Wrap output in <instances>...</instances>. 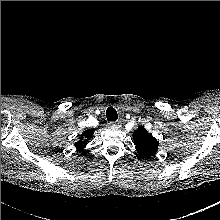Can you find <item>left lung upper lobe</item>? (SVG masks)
Here are the masks:
<instances>
[{"label": "left lung upper lobe", "instance_id": "5c2ea615", "mask_svg": "<svg viewBox=\"0 0 220 220\" xmlns=\"http://www.w3.org/2000/svg\"><path fill=\"white\" fill-rule=\"evenodd\" d=\"M134 144L137 153L141 158L153 156L158 150V141L152 134H149L143 126H139L133 133Z\"/></svg>", "mask_w": 220, "mask_h": 220}]
</instances>
